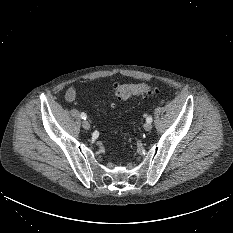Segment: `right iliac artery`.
<instances>
[{"label":"right iliac artery","mask_w":233,"mask_h":233,"mask_svg":"<svg viewBox=\"0 0 233 233\" xmlns=\"http://www.w3.org/2000/svg\"><path fill=\"white\" fill-rule=\"evenodd\" d=\"M80 116H81V118L84 119V120H86V118H87V115H86L84 112H82Z\"/></svg>","instance_id":"obj_1"}]
</instances>
